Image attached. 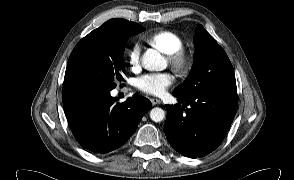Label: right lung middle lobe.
Returning a JSON list of instances; mask_svg holds the SVG:
<instances>
[{"label":"right lung middle lobe","mask_w":294,"mask_h":180,"mask_svg":"<svg viewBox=\"0 0 294 180\" xmlns=\"http://www.w3.org/2000/svg\"><path fill=\"white\" fill-rule=\"evenodd\" d=\"M143 30V29H142ZM133 32L92 31L75 46L67 64L63 91L82 87L112 90L123 80V53Z\"/></svg>","instance_id":"right-lung-middle-lobe-1"}]
</instances>
